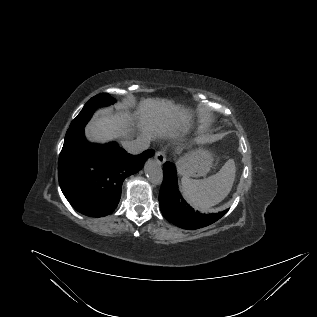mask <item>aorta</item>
Instances as JSON below:
<instances>
[{"label": "aorta", "instance_id": "1", "mask_svg": "<svg viewBox=\"0 0 317 317\" xmlns=\"http://www.w3.org/2000/svg\"><path fill=\"white\" fill-rule=\"evenodd\" d=\"M144 171L152 184L160 185L163 180V170L160 161L148 159L144 166Z\"/></svg>", "mask_w": 317, "mask_h": 317}]
</instances>
